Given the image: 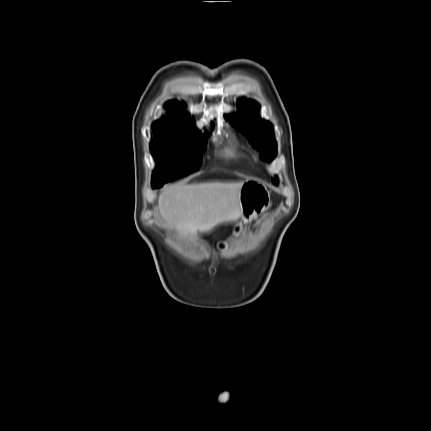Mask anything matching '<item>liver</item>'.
<instances>
[{"label": "liver", "mask_w": 431, "mask_h": 431, "mask_svg": "<svg viewBox=\"0 0 431 431\" xmlns=\"http://www.w3.org/2000/svg\"><path fill=\"white\" fill-rule=\"evenodd\" d=\"M242 184L214 181L169 186L159 195V214L168 228L194 238L197 232L239 220Z\"/></svg>", "instance_id": "obj_1"}]
</instances>
